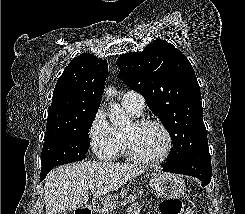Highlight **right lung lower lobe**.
Returning a JSON list of instances; mask_svg holds the SVG:
<instances>
[{
	"label": "right lung lower lobe",
	"instance_id": "obj_1",
	"mask_svg": "<svg viewBox=\"0 0 245 214\" xmlns=\"http://www.w3.org/2000/svg\"><path fill=\"white\" fill-rule=\"evenodd\" d=\"M45 177H46V175H42V176L40 177V181H42Z\"/></svg>",
	"mask_w": 245,
	"mask_h": 214
}]
</instances>
